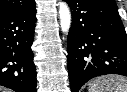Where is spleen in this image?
I'll use <instances>...</instances> for the list:
<instances>
[{"mask_svg": "<svg viewBox=\"0 0 127 92\" xmlns=\"http://www.w3.org/2000/svg\"><path fill=\"white\" fill-rule=\"evenodd\" d=\"M88 92H127V79L119 75L98 77L90 82Z\"/></svg>", "mask_w": 127, "mask_h": 92, "instance_id": "obj_1", "label": "spleen"}]
</instances>
